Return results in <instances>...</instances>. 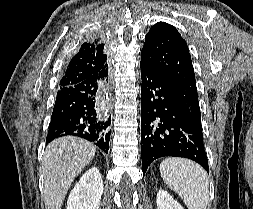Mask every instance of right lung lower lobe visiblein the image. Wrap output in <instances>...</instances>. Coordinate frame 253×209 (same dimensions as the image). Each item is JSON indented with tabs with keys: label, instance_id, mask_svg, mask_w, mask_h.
Masks as SVG:
<instances>
[{
	"label": "right lung lower lobe",
	"instance_id": "obj_1",
	"mask_svg": "<svg viewBox=\"0 0 253 209\" xmlns=\"http://www.w3.org/2000/svg\"><path fill=\"white\" fill-rule=\"evenodd\" d=\"M107 72L59 89L46 144L56 138L72 135L91 141L108 153L111 117L100 115L97 101L101 79Z\"/></svg>",
	"mask_w": 253,
	"mask_h": 209
}]
</instances>
